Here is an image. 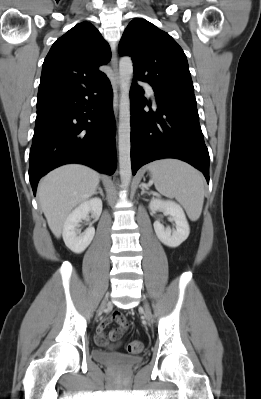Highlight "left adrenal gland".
<instances>
[{"mask_svg": "<svg viewBox=\"0 0 261 399\" xmlns=\"http://www.w3.org/2000/svg\"><path fill=\"white\" fill-rule=\"evenodd\" d=\"M140 188H141V195H143L144 193H147V194H150L149 192H148V190H149V188H148V186L146 185V184H141L140 185Z\"/></svg>", "mask_w": 261, "mask_h": 399, "instance_id": "obj_1", "label": "left adrenal gland"}]
</instances>
